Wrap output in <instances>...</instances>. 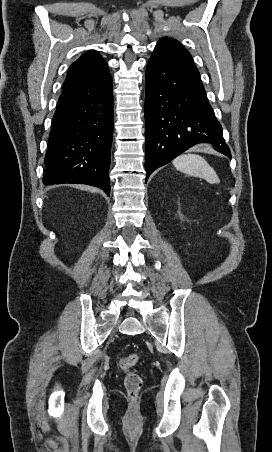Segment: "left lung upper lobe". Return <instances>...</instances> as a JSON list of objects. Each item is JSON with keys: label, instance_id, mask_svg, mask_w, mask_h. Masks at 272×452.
<instances>
[{"label": "left lung upper lobe", "instance_id": "left-lung-upper-lobe-1", "mask_svg": "<svg viewBox=\"0 0 272 452\" xmlns=\"http://www.w3.org/2000/svg\"><path fill=\"white\" fill-rule=\"evenodd\" d=\"M157 44L171 45L172 47L176 48L177 50H179L180 52L184 53L185 55H187L188 57H190L192 59L190 53L182 46L181 43H179L175 39L164 37L161 40H159Z\"/></svg>", "mask_w": 272, "mask_h": 452}]
</instances>
